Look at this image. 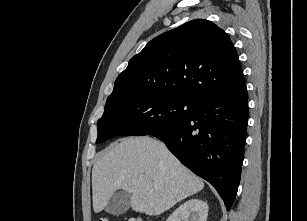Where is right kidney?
<instances>
[{
  "instance_id": "right-kidney-1",
  "label": "right kidney",
  "mask_w": 307,
  "mask_h": 221,
  "mask_svg": "<svg viewBox=\"0 0 307 221\" xmlns=\"http://www.w3.org/2000/svg\"><path fill=\"white\" fill-rule=\"evenodd\" d=\"M208 216L207 202L200 199H190L179 206L166 221H206Z\"/></svg>"
}]
</instances>
